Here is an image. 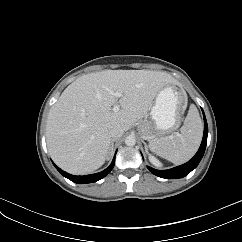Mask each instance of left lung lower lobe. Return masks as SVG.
Instances as JSON below:
<instances>
[{"label":"left lung lower lobe","instance_id":"left-lung-lower-lobe-1","mask_svg":"<svg viewBox=\"0 0 242 242\" xmlns=\"http://www.w3.org/2000/svg\"><path fill=\"white\" fill-rule=\"evenodd\" d=\"M203 117H204V134H203V139L202 143L200 145L199 150L195 154V156L189 160L187 163L174 167L169 170H156L151 167H147L151 173H153L156 176H159L161 178H166V179H176V178H182L188 175L193 169L197 167L199 164L200 160L203 157V154L206 149V144H207V135H208V126H207V121L205 118V114L203 112Z\"/></svg>","mask_w":242,"mask_h":242}]
</instances>
